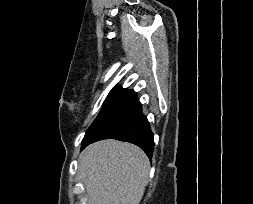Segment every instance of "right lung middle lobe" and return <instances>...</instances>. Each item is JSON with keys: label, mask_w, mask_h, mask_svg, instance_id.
I'll use <instances>...</instances> for the list:
<instances>
[{"label": "right lung middle lobe", "mask_w": 253, "mask_h": 204, "mask_svg": "<svg viewBox=\"0 0 253 204\" xmlns=\"http://www.w3.org/2000/svg\"><path fill=\"white\" fill-rule=\"evenodd\" d=\"M132 94H134L133 90H127L121 87L113 88L109 93L107 101L101 109L100 113L87 130L82 144L87 141L90 138L91 134L94 132V130Z\"/></svg>", "instance_id": "right-lung-middle-lobe-1"}]
</instances>
